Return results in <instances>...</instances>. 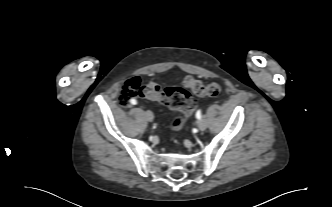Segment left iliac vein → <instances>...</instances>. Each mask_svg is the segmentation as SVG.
I'll use <instances>...</instances> for the list:
<instances>
[{
    "label": "left iliac vein",
    "mask_w": 332,
    "mask_h": 207,
    "mask_svg": "<svg viewBox=\"0 0 332 207\" xmlns=\"http://www.w3.org/2000/svg\"><path fill=\"white\" fill-rule=\"evenodd\" d=\"M197 125L198 128L203 131L207 128V120L205 118L199 119Z\"/></svg>",
    "instance_id": "4c4485c4"
}]
</instances>
